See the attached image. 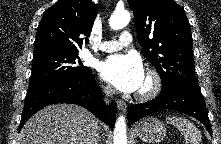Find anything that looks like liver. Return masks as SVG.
<instances>
[{"mask_svg":"<svg viewBox=\"0 0 221 144\" xmlns=\"http://www.w3.org/2000/svg\"><path fill=\"white\" fill-rule=\"evenodd\" d=\"M97 129L96 117L86 109L72 104L49 105L25 123L18 144H92Z\"/></svg>","mask_w":221,"mask_h":144,"instance_id":"6515ba94","label":"liver"}]
</instances>
